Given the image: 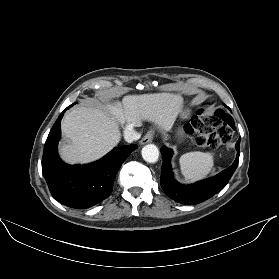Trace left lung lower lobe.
Listing matches in <instances>:
<instances>
[{
	"label": "left lung lower lobe",
	"instance_id": "left-lung-lower-lobe-1",
	"mask_svg": "<svg viewBox=\"0 0 279 279\" xmlns=\"http://www.w3.org/2000/svg\"><path fill=\"white\" fill-rule=\"evenodd\" d=\"M188 128L189 124H186L185 129ZM239 144L240 139L237 141L235 145L237 150V157L232 166L221 171L214 177L189 185L180 184L174 179L170 164L173 152L171 149L163 146L161 148L163 160L160 178L161 187L171 199L181 204H198L209 199L227 185L228 181L230 180L234 171L236 170L240 154Z\"/></svg>",
	"mask_w": 279,
	"mask_h": 279
}]
</instances>
